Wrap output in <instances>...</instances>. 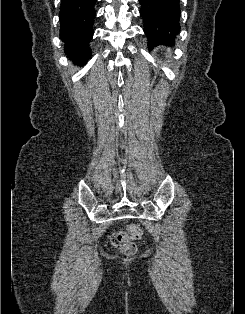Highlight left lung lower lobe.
Masks as SVG:
<instances>
[{"label":"left lung lower lobe","instance_id":"1","mask_svg":"<svg viewBox=\"0 0 245 314\" xmlns=\"http://www.w3.org/2000/svg\"><path fill=\"white\" fill-rule=\"evenodd\" d=\"M180 0H139L140 15L144 21V32L149 45L174 42L180 31Z\"/></svg>","mask_w":245,"mask_h":314}]
</instances>
